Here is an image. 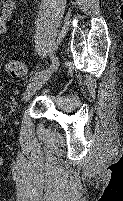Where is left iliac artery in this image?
Instances as JSON below:
<instances>
[{
  "mask_svg": "<svg viewBox=\"0 0 123 201\" xmlns=\"http://www.w3.org/2000/svg\"><path fill=\"white\" fill-rule=\"evenodd\" d=\"M51 59H52V64L50 65V68H52V69H57L58 66H59L58 58L53 55V56H51ZM48 68H49V67H48ZM46 70H47V69H46ZM46 70L44 69V70H42V71H40V72H35V73H34V76H37L38 74H41V73L45 72ZM32 78H33V77H31L30 80H31Z\"/></svg>",
  "mask_w": 123,
  "mask_h": 201,
  "instance_id": "1",
  "label": "left iliac artery"
}]
</instances>
